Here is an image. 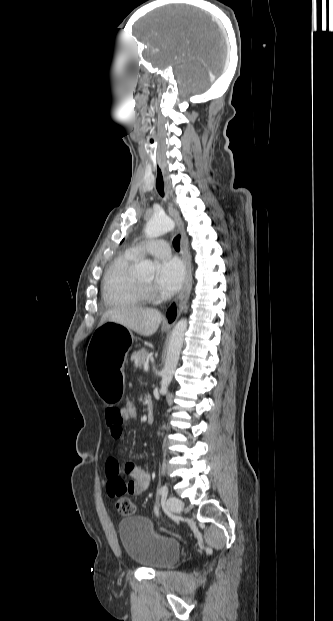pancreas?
Returning <instances> with one entry per match:
<instances>
[{"label": "pancreas", "mask_w": 333, "mask_h": 621, "mask_svg": "<svg viewBox=\"0 0 333 621\" xmlns=\"http://www.w3.org/2000/svg\"><path fill=\"white\" fill-rule=\"evenodd\" d=\"M149 353L147 349L142 348L141 350L135 351L131 355V360L134 361V365L137 368H140L142 365L148 362Z\"/></svg>", "instance_id": "obj_1"}]
</instances>
